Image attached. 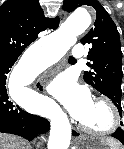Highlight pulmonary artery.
Instances as JSON below:
<instances>
[{
    "instance_id": "1",
    "label": "pulmonary artery",
    "mask_w": 124,
    "mask_h": 149,
    "mask_svg": "<svg viewBox=\"0 0 124 149\" xmlns=\"http://www.w3.org/2000/svg\"><path fill=\"white\" fill-rule=\"evenodd\" d=\"M74 58L81 59L85 56V45L77 44L71 51Z\"/></svg>"
}]
</instances>
